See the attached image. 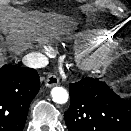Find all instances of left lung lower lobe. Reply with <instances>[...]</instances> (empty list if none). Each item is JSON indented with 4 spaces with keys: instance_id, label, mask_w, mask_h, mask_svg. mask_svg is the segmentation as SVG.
Masks as SVG:
<instances>
[{
    "instance_id": "obj_1",
    "label": "left lung lower lobe",
    "mask_w": 131,
    "mask_h": 131,
    "mask_svg": "<svg viewBox=\"0 0 131 131\" xmlns=\"http://www.w3.org/2000/svg\"><path fill=\"white\" fill-rule=\"evenodd\" d=\"M69 93L64 115L69 131H131V100L120 98L99 78L71 83Z\"/></svg>"
}]
</instances>
